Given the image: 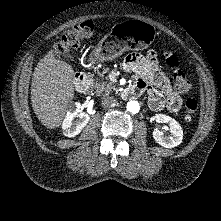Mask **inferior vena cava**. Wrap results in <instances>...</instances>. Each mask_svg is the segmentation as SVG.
Returning a JSON list of instances; mask_svg holds the SVG:
<instances>
[{"mask_svg": "<svg viewBox=\"0 0 221 221\" xmlns=\"http://www.w3.org/2000/svg\"><path fill=\"white\" fill-rule=\"evenodd\" d=\"M118 104V101L115 97H111V96H104L102 98V106L104 108H110V107H114Z\"/></svg>", "mask_w": 221, "mask_h": 221, "instance_id": "1", "label": "inferior vena cava"}]
</instances>
